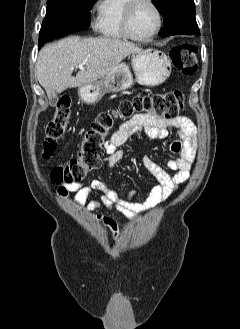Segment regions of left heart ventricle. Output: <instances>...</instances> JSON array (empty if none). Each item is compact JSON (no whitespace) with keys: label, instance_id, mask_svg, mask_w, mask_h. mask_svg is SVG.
Here are the masks:
<instances>
[{"label":"left heart ventricle","instance_id":"1","mask_svg":"<svg viewBox=\"0 0 240 329\" xmlns=\"http://www.w3.org/2000/svg\"><path fill=\"white\" fill-rule=\"evenodd\" d=\"M157 25V16L154 9L145 2H141L134 7L130 26L135 35L147 36Z\"/></svg>","mask_w":240,"mask_h":329}]
</instances>
